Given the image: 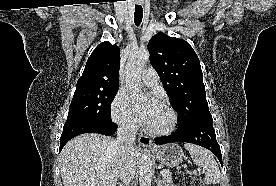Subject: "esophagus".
Instances as JSON below:
<instances>
[{
	"instance_id": "34e87169",
	"label": "esophagus",
	"mask_w": 276,
	"mask_h": 186,
	"mask_svg": "<svg viewBox=\"0 0 276 186\" xmlns=\"http://www.w3.org/2000/svg\"><path fill=\"white\" fill-rule=\"evenodd\" d=\"M138 3H141V2H138ZM138 142L141 146L143 147H151L152 145V140L148 137V136H145L143 134H140L138 136Z\"/></svg>"
}]
</instances>
